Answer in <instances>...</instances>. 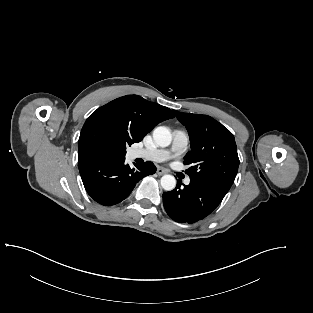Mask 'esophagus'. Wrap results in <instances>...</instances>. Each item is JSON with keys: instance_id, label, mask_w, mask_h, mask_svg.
Returning a JSON list of instances; mask_svg holds the SVG:
<instances>
[{"instance_id": "obj_1", "label": "esophagus", "mask_w": 313, "mask_h": 313, "mask_svg": "<svg viewBox=\"0 0 313 313\" xmlns=\"http://www.w3.org/2000/svg\"><path fill=\"white\" fill-rule=\"evenodd\" d=\"M167 173V170H165L164 168H161V167H158L157 168V174L158 175H164V174H166Z\"/></svg>"}]
</instances>
